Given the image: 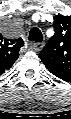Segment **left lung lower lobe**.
I'll return each instance as SVG.
<instances>
[{"label": "left lung lower lobe", "instance_id": "left-lung-lower-lobe-1", "mask_svg": "<svg viewBox=\"0 0 71 119\" xmlns=\"http://www.w3.org/2000/svg\"><path fill=\"white\" fill-rule=\"evenodd\" d=\"M53 75H55L56 77L65 80V81H70L71 80V75L70 74H64V73H60V72H55V71H50Z\"/></svg>", "mask_w": 71, "mask_h": 119}]
</instances>
